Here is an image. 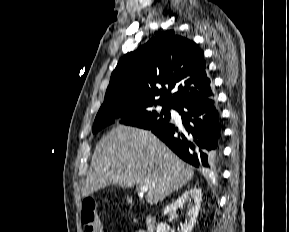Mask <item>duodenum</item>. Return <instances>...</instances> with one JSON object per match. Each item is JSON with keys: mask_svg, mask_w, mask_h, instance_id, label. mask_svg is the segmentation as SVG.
<instances>
[{"mask_svg": "<svg viewBox=\"0 0 289 232\" xmlns=\"http://www.w3.org/2000/svg\"><path fill=\"white\" fill-rule=\"evenodd\" d=\"M146 228H147V232H154L155 218L152 215L146 216Z\"/></svg>", "mask_w": 289, "mask_h": 232, "instance_id": "1", "label": "duodenum"}]
</instances>
